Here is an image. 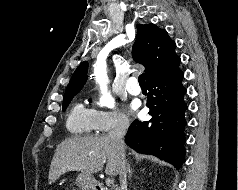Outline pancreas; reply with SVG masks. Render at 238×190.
Instances as JSON below:
<instances>
[{
	"label": "pancreas",
	"mask_w": 238,
	"mask_h": 190,
	"mask_svg": "<svg viewBox=\"0 0 238 190\" xmlns=\"http://www.w3.org/2000/svg\"><path fill=\"white\" fill-rule=\"evenodd\" d=\"M104 190H117V188L116 189H113V188H111V189H104Z\"/></svg>",
	"instance_id": "pancreas-1"
}]
</instances>
